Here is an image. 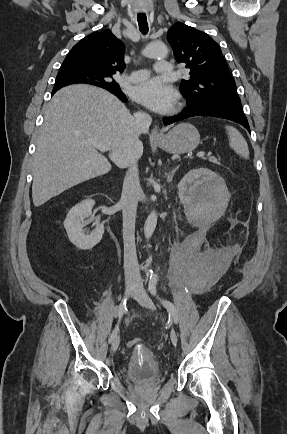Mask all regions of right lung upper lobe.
<instances>
[{
  "instance_id": "1",
  "label": "right lung upper lobe",
  "mask_w": 287,
  "mask_h": 434,
  "mask_svg": "<svg viewBox=\"0 0 287 434\" xmlns=\"http://www.w3.org/2000/svg\"><path fill=\"white\" fill-rule=\"evenodd\" d=\"M124 50V44L111 31H97L71 49L61 69H82L113 75L116 71H122L125 66ZM66 85L69 84H55L52 92Z\"/></svg>"
}]
</instances>
